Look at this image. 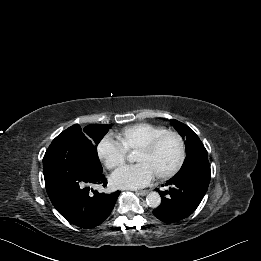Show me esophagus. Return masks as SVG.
<instances>
[{"label": "esophagus", "instance_id": "34e87169", "mask_svg": "<svg viewBox=\"0 0 261 261\" xmlns=\"http://www.w3.org/2000/svg\"><path fill=\"white\" fill-rule=\"evenodd\" d=\"M148 193H149V190H141V191H137L136 192V194H138L140 196H145Z\"/></svg>", "mask_w": 261, "mask_h": 261}]
</instances>
